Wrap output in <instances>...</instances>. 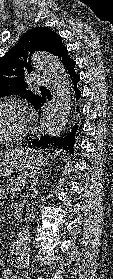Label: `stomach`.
I'll return each instance as SVG.
<instances>
[{"instance_id": "obj_1", "label": "stomach", "mask_w": 113, "mask_h": 279, "mask_svg": "<svg viewBox=\"0 0 113 279\" xmlns=\"http://www.w3.org/2000/svg\"><path fill=\"white\" fill-rule=\"evenodd\" d=\"M49 159L48 152L30 148L12 147L0 151V178L16 171L38 169Z\"/></svg>"}]
</instances>
